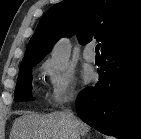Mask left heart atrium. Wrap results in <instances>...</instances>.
<instances>
[{
    "mask_svg": "<svg viewBox=\"0 0 141 139\" xmlns=\"http://www.w3.org/2000/svg\"><path fill=\"white\" fill-rule=\"evenodd\" d=\"M94 78V74L90 71V70H85L83 72V80L86 82V83H89L90 81H92Z\"/></svg>",
    "mask_w": 141,
    "mask_h": 139,
    "instance_id": "obj_1",
    "label": "left heart atrium"
}]
</instances>
